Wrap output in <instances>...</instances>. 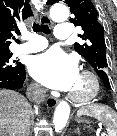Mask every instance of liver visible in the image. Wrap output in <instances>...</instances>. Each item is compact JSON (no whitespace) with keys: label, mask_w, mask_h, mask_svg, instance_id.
<instances>
[{"label":"liver","mask_w":117,"mask_h":136,"mask_svg":"<svg viewBox=\"0 0 117 136\" xmlns=\"http://www.w3.org/2000/svg\"><path fill=\"white\" fill-rule=\"evenodd\" d=\"M31 105L18 92L0 90V136H26Z\"/></svg>","instance_id":"liver-1"}]
</instances>
